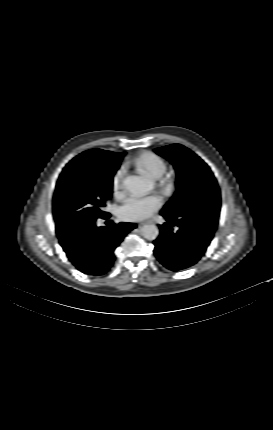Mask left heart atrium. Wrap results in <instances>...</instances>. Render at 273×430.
Masks as SVG:
<instances>
[{"label": "left heart atrium", "instance_id": "39dd6f15", "mask_svg": "<svg viewBox=\"0 0 273 430\" xmlns=\"http://www.w3.org/2000/svg\"><path fill=\"white\" fill-rule=\"evenodd\" d=\"M162 205L158 195L133 196L126 199L119 208L118 215L127 221H139L150 217Z\"/></svg>", "mask_w": 273, "mask_h": 430}]
</instances>
